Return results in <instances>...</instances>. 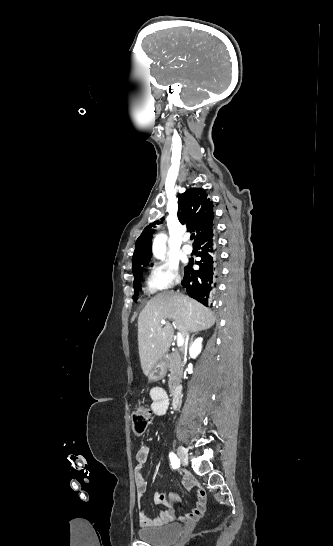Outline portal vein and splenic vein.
<instances>
[{"mask_svg": "<svg viewBox=\"0 0 333 546\" xmlns=\"http://www.w3.org/2000/svg\"><path fill=\"white\" fill-rule=\"evenodd\" d=\"M161 324H162V325H165V324H166V320H165V319H162V320H161ZM183 344H184V338H183V336L181 335V333L178 332V333H177V346H178V347H182Z\"/></svg>", "mask_w": 333, "mask_h": 546, "instance_id": "portal-vein-and-splenic-vein-1", "label": "portal vein and splenic vein"}]
</instances>
